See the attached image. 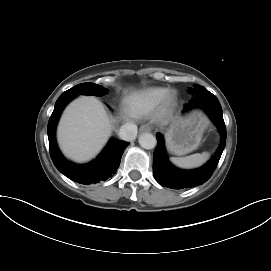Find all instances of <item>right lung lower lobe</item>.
I'll return each instance as SVG.
<instances>
[{
  "label": "right lung lower lobe",
  "instance_id": "1",
  "mask_svg": "<svg viewBox=\"0 0 271 271\" xmlns=\"http://www.w3.org/2000/svg\"><path fill=\"white\" fill-rule=\"evenodd\" d=\"M73 98L72 96L61 95L56 101L55 108L49 119L47 133L52 161L61 173L78 183L86 185L98 183L101 180L105 181L116 172L124 149L129 143L111 139L98 158L86 165H77L67 161L58 149L55 129L64 107Z\"/></svg>",
  "mask_w": 271,
  "mask_h": 271
}]
</instances>
